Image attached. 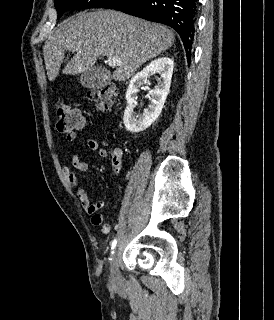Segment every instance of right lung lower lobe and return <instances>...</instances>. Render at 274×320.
Masks as SVG:
<instances>
[{"mask_svg":"<svg viewBox=\"0 0 274 320\" xmlns=\"http://www.w3.org/2000/svg\"><path fill=\"white\" fill-rule=\"evenodd\" d=\"M198 0H111L102 8L119 10L174 28L180 35L188 61L198 13Z\"/></svg>","mask_w":274,"mask_h":320,"instance_id":"1","label":"right lung lower lobe"}]
</instances>
